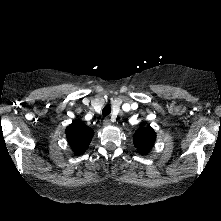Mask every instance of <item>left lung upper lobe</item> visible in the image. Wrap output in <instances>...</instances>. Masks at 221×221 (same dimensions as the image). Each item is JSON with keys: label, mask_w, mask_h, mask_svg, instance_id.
<instances>
[{"label": "left lung upper lobe", "mask_w": 221, "mask_h": 221, "mask_svg": "<svg viewBox=\"0 0 221 221\" xmlns=\"http://www.w3.org/2000/svg\"><path fill=\"white\" fill-rule=\"evenodd\" d=\"M156 140V133L148 126L139 128L134 134V145L137 150L142 154H147L154 146Z\"/></svg>", "instance_id": "obj_1"}]
</instances>
